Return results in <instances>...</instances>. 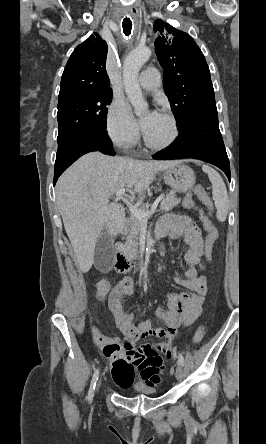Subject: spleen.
Listing matches in <instances>:
<instances>
[{
    "mask_svg": "<svg viewBox=\"0 0 266 444\" xmlns=\"http://www.w3.org/2000/svg\"><path fill=\"white\" fill-rule=\"evenodd\" d=\"M202 169L208 174L209 180L212 183V199L217 208V218L223 222L227 217L229 203L226 186L216 170L207 165H203Z\"/></svg>",
    "mask_w": 266,
    "mask_h": 444,
    "instance_id": "1",
    "label": "spleen"
}]
</instances>
